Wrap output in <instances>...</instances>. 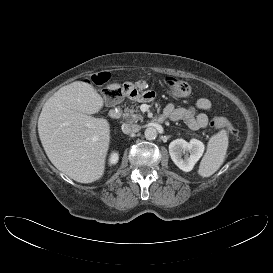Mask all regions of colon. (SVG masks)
<instances>
[{
	"mask_svg": "<svg viewBox=\"0 0 273 273\" xmlns=\"http://www.w3.org/2000/svg\"><path fill=\"white\" fill-rule=\"evenodd\" d=\"M109 79L110 75L106 72L97 73L92 76V81L97 85H104L109 81ZM164 83L169 91L177 96H185L190 91V86L187 82L174 77H165ZM107 95L109 98L115 99L119 96V93L117 90L110 89L108 90ZM212 125L216 128L227 130V132L233 137L238 136L237 129L234 128L233 125L224 117H214L212 119Z\"/></svg>",
	"mask_w": 273,
	"mask_h": 273,
	"instance_id": "colon-1",
	"label": "colon"
}]
</instances>
